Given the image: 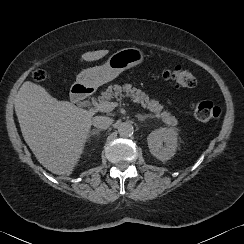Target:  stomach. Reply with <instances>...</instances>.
Wrapping results in <instances>:
<instances>
[{
    "instance_id": "1",
    "label": "stomach",
    "mask_w": 244,
    "mask_h": 244,
    "mask_svg": "<svg viewBox=\"0 0 244 244\" xmlns=\"http://www.w3.org/2000/svg\"><path fill=\"white\" fill-rule=\"evenodd\" d=\"M144 57L143 51L139 48L130 47L118 50L108 58L104 65L81 71L77 75L73 86L98 88L114 80L122 72L141 64Z\"/></svg>"
}]
</instances>
